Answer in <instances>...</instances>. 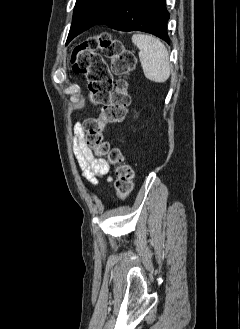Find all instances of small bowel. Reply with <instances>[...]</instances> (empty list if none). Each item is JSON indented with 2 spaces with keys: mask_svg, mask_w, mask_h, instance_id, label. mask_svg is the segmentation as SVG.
<instances>
[{
  "mask_svg": "<svg viewBox=\"0 0 240 329\" xmlns=\"http://www.w3.org/2000/svg\"><path fill=\"white\" fill-rule=\"evenodd\" d=\"M74 152L83 176L95 184L97 178L103 177L110 172L107 161L103 158L94 157L92 150L85 143V131L83 125L78 122L74 126Z\"/></svg>",
  "mask_w": 240,
  "mask_h": 329,
  "instance_id": "small-bowel-1",
  "label": "small bowel"
}]
</instances>
